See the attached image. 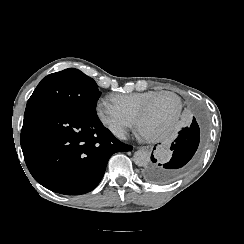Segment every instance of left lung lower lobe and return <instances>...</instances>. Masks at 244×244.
Returning <instances> with one entry per match:
<instances>
[{"instance_id": "1", "label": "left lung lower lobe", "mask_w": 244, "mask_h": 244, "mask_svg": "<svg viewBox=\"0 0 244 244\" xmlns=\"http://www.w3.org/2000/svg\"><path fill=\"white\" fill-rule=\"evenodd\" d=\"M200 142V129L198 120L193 117L189 127L179 132L178 138L172 143V158L165 164L157 163L153 155L149 163L143 168L142 178L154 184H168L181 179L192 167L197 156Z\"/></svg>"}]
</instances>
